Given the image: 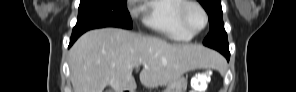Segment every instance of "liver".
Returning <instances> with one entry per match:
<instances>
[{"instance_id":"1","label":"liver","mask_w":296,"mask_h":92,"mask_svg":"<svg viewBox=\"0 0 296 92\" xmlns=\"http://www.w3.org/2000/svg\"><path fill=\"white\" fill-rule=\"evenodd\" d=\"M74 92H134L133 68L143 65L139 78L145 87L170 84L190 70L215 68L218 56L199 44L169 43L119 28L83 34L69 52Z\"/></svg>"}]
</instances>
